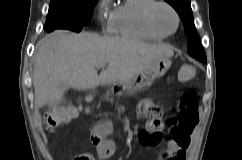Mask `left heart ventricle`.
Returning <instances> with one entry per match:
<instances>
[{
  "label": "left heart ventricle",
  "mask_w": 242,
  "mask_h": 160,
  "mask_svg": "<svg viewBox=\"0 0 242 160\" xmlns=\"http://www.w3.org/2000/svg\"><path fill=\"white\" fill-rule=\"evenodd\" d=\"M154 20L157 26L165 32H172L175 29V17L173 13L165 7H159L156 9Z\"/></svg>",
  "instance_id": "b2bd125f"
}]
</instances>
